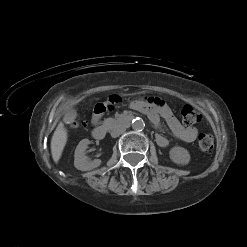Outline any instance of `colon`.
<instances>
[{"mask_svg":"<svg viewBox=\"0 0 247 247\" xmlns=\"http://www.w3.org/2000/svg\"><path fill=\"white\" fill-rule=\"evenodd\" d=\"M181 116L184 124L191 126L198 123L201 119L200 113L189 104H186L181 109ZM78 121L73 123V127H78ZM199 148L203 152H210L214 147V139L210 134H201L198 138Z\"/></svg>","mask_w":247,"mask_h":247,"instance_id":"colon-1","label":"colon"}]
</instances>
